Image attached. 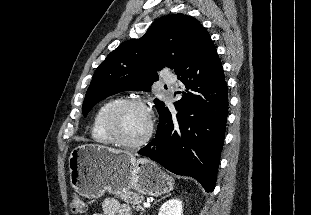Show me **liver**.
<instances>
[{"mask_svg": "<svg viewBox=\"0 0 311 215\" xmlns=\"http://www.w3.org/2000/svg\"><path fill=\"white\" fill-rule=\"evenodd\" d=\"M108 149H110V150H112V151H117V150H115V149H113V148H108ZM126 153H128V152H126ZM130 154V153H129Z\"/></svg>", "mask_w": 311, "mask_h": 215, "instance_id": "1", "label": "liver"}]
</instances>
